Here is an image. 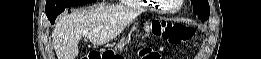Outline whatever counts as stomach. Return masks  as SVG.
<instances>
[{
	"mask_svg": "<svg viewBox=\"0 0 261 59\" xmlns=\"http://www.w3.org/2000/svg\"><path fill=\"white\" fill-rule=\"evenodd\" d=\"M125 47V41L121 40L120 44H119V50L122 51Z\"/></svg>",
	"mask_w": 261,
	"mask_h": 59,
	"instance_id": "obj_1",
	"label": "stomach"
}]
</instances>
